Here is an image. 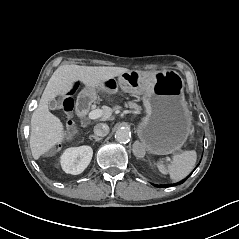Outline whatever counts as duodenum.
Returning a JSON list of instances; mask_svg holds the SVG:
<instances>
[{
    "label": "duodenum",
    "mask_w": 239,
    "mask_h": 239,
    "mask_svg": "<svg viewBox=\"0 0 239 239\" xmlns=\"http://www.w3.org/2000/svg\"><path fill=\"white\" fill-rule=\"evenodd\" d=\"M90 106H91V100L88 96L80 97L76 105L78 114L81 117H85L90 110Z\"/></svg>",
    "instance_id": "1"
}]
</instances>
